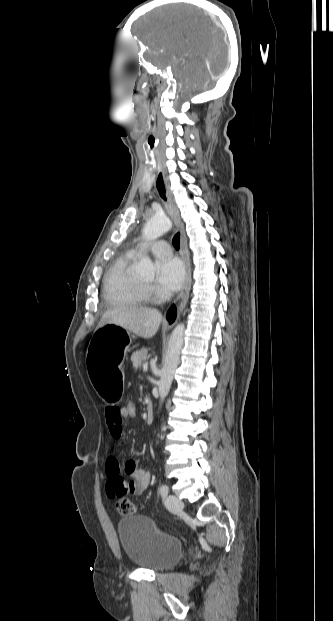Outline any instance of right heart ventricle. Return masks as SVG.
Wrapping results in <instances>:
<instances>
[{
  "label": "right heart ventricle",
  "instance_id": "obj_1",
  "mask_svg": "<svg viewBox=\"0 0 333 621\" xmlns=\"http://www.w3.org/2000/svg\"><path fill=\"white\" fill-rule=\"evenodd\" d=\"M135 255L126 253L109 268L103 286V296L110 305L141 306L149 299V291L131 273Z\"/></svg>",
  "mask_w": 333,
  "mask_h": 621
}]
</instances>
